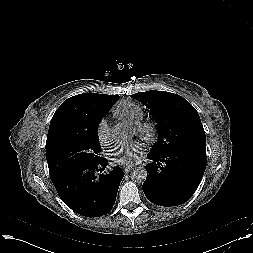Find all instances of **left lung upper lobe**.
<instances>
[{
    "label": "left lung upper lobe",
    "mask_w": 253,
    "mask_h": 253,
    "mask_svg": "<svg viewBox=\"0 0 253 253\" xmlns=\"http://www.w3.org/2000/svg\"><path fill=\"white\" fill-rule=\"evenodd\" d=\"M130 97L148 107L157 122L158 140L150 152L163 154L184 146L206 149L200 117L186 99L157 90L135 93Z\"/></svg>",
    "instance_id": "1"
}]
</instances>
